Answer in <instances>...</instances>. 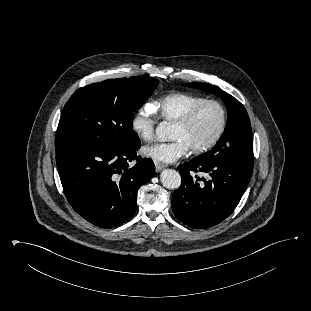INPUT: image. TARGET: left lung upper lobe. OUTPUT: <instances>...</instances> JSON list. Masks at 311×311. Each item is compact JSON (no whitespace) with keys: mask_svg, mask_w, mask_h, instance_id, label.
I'll use <instances>...</instances> for the list:
<instances>
[{"mask_svg":"<svg viewBox=\"0 0 311 311\" xmlns=\"http://www.w3.org/2000/svg\"><path fill=\"white\" fill-rule=\"evenodd\" d=\"M188 87L211 92L221 96L228 111L225 130L217 144L200 155L206 159H220L231 156L253 158V134L250 119L244 106L233 96L220 88L207 83H187Z\"/></svg>","mask_w":311,"mask_h":311,"instance_id":"1","label":"left lung upper lobe"}]
</instances>
